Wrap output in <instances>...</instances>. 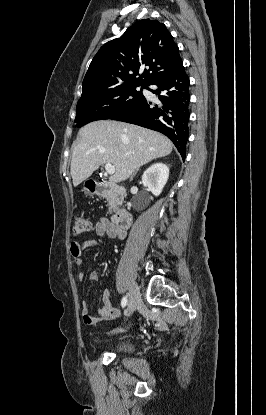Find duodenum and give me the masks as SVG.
<instances>
[{
    "label": "duodenum",
    "instance_id": "410a0bca",
    "mask_svg": "<svg viewBox=\"0 0 266 415\" xmlns=\"http://www.w3.org/2000/svg\"><path fill=\"white\" fill-rule=\"evenodd\" d=\"M89 190L95 195H106L112 193L119 200H122L126 195L124 188L118 187L110 182L91 181L89 183ZM111 222L117 228L125 230L131 225V213L127 209L120 207L116 210Z\"/></svg>",
    "mask_w": 266,
    "mask_h": 415
}]
</instances>
